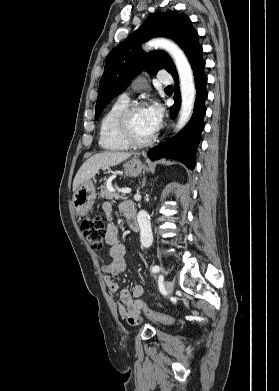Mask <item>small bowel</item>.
<instances>
[{"instance_id": "obj_1", "label": "small bowel", "mask_w": 279, "mask_h": 391, "mask_svg": "<svg viewBox=\"0 0 279 391\" xmlns=\"http://www.w3.org/2000/svg\"><path fill=\"white\" fill-rule=\"evenodd\" d=\"M130 204V202H123L120 209L125 211ZM102 209L107 218L105 241L110 258V261L102 266V271L105 273L104 281L111 292H119L117 308L120 316L129 324L137 325L142 320L141 304L144 302V289L142 286L136 285L132 291L127 289L120 290L119 284L115 281V276L122 273L126 268L125 247L120 242L118 227L112 219V205L106 202L103 204Z\"/></svg>"}]
</instances>
